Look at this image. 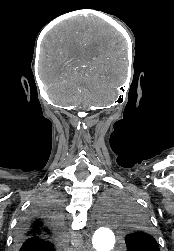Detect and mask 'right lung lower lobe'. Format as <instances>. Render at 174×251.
I'll use <instances>...</instances> for the list:
<instances>
[{"mask_svg": "<svg viewBox=\"0 0 174 251\" xmlns=\"http://www.w3.org/2000/svg\"><path fill=\"white\" fill-rule=\"evenodd\" d=\"M24 231L25 229L22 223L18 229L17 236H16V241H15L16 250L26 251V249L32 247V243H31L32 241L30 240V238L22 237Z\"/></svg>", "mask_w": 174, "mask_h": 251, "instance_id": "right-lung-lower-lobe-1", "label": "right lung lower lobe"}]
</instances>
